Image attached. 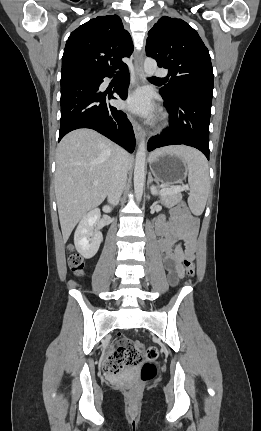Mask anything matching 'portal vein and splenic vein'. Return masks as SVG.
I'll return each instance as SVG.
<instances>
[{"label":"portal vein and splenic vein","mask_w":261,"mask_h":431,"mask_svg":"<svg viewBox=\"0 0 261 431\" xmlns=\"http://www.w3.org/2000/svg\"><path fill=\"white\" fill-rule=\"evenodd\" d=\"M96 185H97V183H94V186H96ZM181 190H183V188L180 187V186H176V187L165 186V187L162 188L161 193L162 194L163 193H175V192H178V191H181Z\"/></svg>","instance_id":"18ae733b"}]
</instances>
